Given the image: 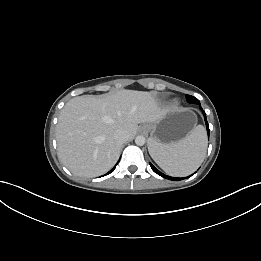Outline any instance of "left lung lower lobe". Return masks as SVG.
Segmentation results:
<instances>
[{"instance_id": "obj_1", "label": "left lung lower lobe", "mask_w": 261, "mask_h": 261, "mask_svg": "<svg viewBox=\"0 0 261 261\" xmlns=\"http://www.w3.org/2000/svg\"><path fill=\"white\" fill-rule=\"evenodd\" d=\"M200 108H201V107H200ZM201 110H202V108H201ZM202 111H203V110H202ZM203 113H204V111H203ZM204 117H205L207 132H208V135H209V125H208L206 116H204ZM150 166H151L152 170H153L156 174H158V175H160V176H162V177H164V178H166V179H170V180H173V181H180V180L184 179V178H175V177L167 176V175L161 173L159 170H157L152 164H150Z\"/></svg>"}]
</instances>
